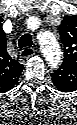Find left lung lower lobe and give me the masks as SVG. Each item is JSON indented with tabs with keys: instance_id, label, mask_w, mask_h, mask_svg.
<instances>
[{
	"instance_id": "1",
	"label": "left lung lower lobe",
	"mask_w": 77,
	"mask_h": 125,
	"mask_svg": "<svg viewBox=\"0 0 77 125\" xmlns=\"http://www.w3.org/2000/svg\"><path fill=\"white\" fill-rule=\"evenodd\" d=\"M61 70H62V69L59 68L57 71H61ZM55 72H56V71H55ZM55 72H54V73H55ZM54 73H53V74H54ZM51 76H52V75H51Z\"/></svg>"
}]
</instances>
